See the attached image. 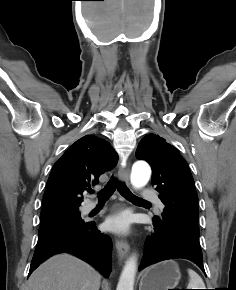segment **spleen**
Returning a JSON list of instances; mask_svg holds the SVG:
<instances>
[{"instance_id": "spleen-1", "label": "spleen", "mask_w": 236, "mask_h": 290, "mask_svg": "<svg viewBox=\"0 0 236 290\" xmlns=\"http://www.w3.org/2000/svg\"><path fill=\"white\" fill-rule=\"evenodd\" d=\"M189 283L187 289H205L202 278L192 269H188Z\"/></svg>"}]
</instances>
